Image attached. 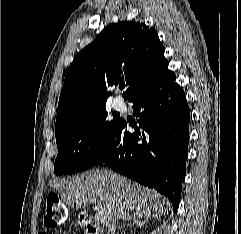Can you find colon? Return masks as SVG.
<instances>
[{
  "label": "colon",
  "mask_w": 241,
  "mask_h": 234,
  "mask_svg": "<svg viewBox=\"0 0 241 234\" xmlns=\"http://www.w3.org/2000/svg\"><path fill=\"white\" fill-rule=\"evenodd\" d=\"M67 219V209L57 195L51 194L46 200L44 214V224L48 228H53ZM43 234V233H42Z\"/></svg>",
  "instance_id": "colon-1"
}]
</instances>
